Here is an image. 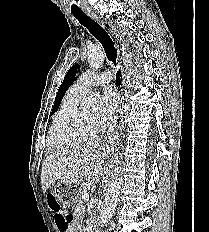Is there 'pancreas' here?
Instances as JSON below:
<instances>
[{"label":"pancreas","mask_w":209,"mask_h":232,"mask_svg":"<svg viewBox=\"0 0 209 232\" xmlns=\"http://www.w3.org/2000/svg\"><path fill=\"white\" fill-rule=\"evenodd\" d=\"M90 190L89 185L84 184L81 186V194L83 195L84 193H88V191Z\"/></svg>","instance_id":"1"}]
</instances>
